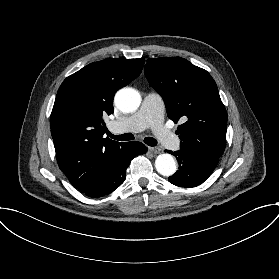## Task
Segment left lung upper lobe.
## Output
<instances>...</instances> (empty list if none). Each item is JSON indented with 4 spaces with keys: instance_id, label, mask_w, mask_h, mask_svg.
<instances>
[{
    "instance_id": "1",
    "label": "left lung upper lobe",
    "mask_w": 279,
    "mask_h": 279,
    "mask_svg": "<svg viewBox=\"0 0 279 279\" xmlns=\"http://www.w3.org/2000/svg\"><path fill=\"white\" fill-rule=\"evenodd\" d=\"M150 85L162 96L168 117L186 122L176 131L181 148L221 157L226 146L227 113L211 75L181 57L148 59Z\"/></svg>"
}]
</instances>
